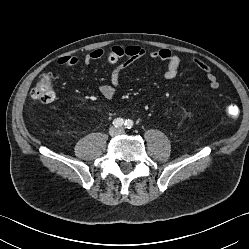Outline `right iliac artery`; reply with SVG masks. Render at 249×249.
Masks as SVG:
<instances>
[{"mask_svg": "<svg viewBox=\"0 0 249 249\" xmlns=\"http://www.w3.org/2000/svg\"><path fill=\"white\" fill-rule=\"evenodd\" d=\"M113 125L115 127H122L123 125H125V121L122 118H116L113 121Z\"/></svg>", "mask_w": 249, "mask_h": 249, "instance_id": "82829eb1", "label": "right iliac artery"}]
</instances>
